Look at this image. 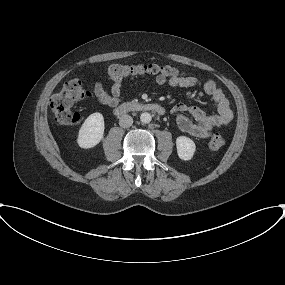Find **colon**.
I'll return each instance as SVG.
<instances>
[{"instance_id": "colon-1", "label": "colon", "mask_w": 285, "mask_h": 285, "mask_svg": "<svg viewBox=\"0 0 285 285\" xmlns=\"http://www.w3.org/2000/svg\"><path fill=\"white\" fill-rule=\"evenodd\" d=\"M107 75L114 81H121L127 77L150 75L165 79L181 77V73L171 66L157 64L123 65L112 64L107 69ZM90 93L79 80L66 82L62 89L51 97L50 107L54 113L55 121L61 126L77 127L81 124V116L73 110L76 102L87 98ZM225 141L219 134H214L209 141V148L218 150Z\"/></svg>"}]
</instances>
